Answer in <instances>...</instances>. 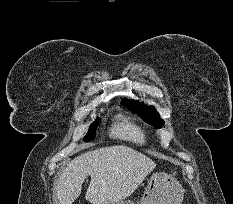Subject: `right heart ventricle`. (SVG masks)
<instances>
[{
    "label": "right heart ventricle",
    "mask_w": 233,
    "mask_h": 204,
    "mask_svg": "<svg viewBox=\"0 0 233 204\" xmlns=\"http://www.w3.org/2000/svg\"><path fill=\"white\" fill-rule=\"evenodd\" d=\"M110 134L116 139L135 145H143L146 142V133L142 127L123 115L115 118Z\"/></svg>",
    "instance_id": "1"
}]
</instances>
